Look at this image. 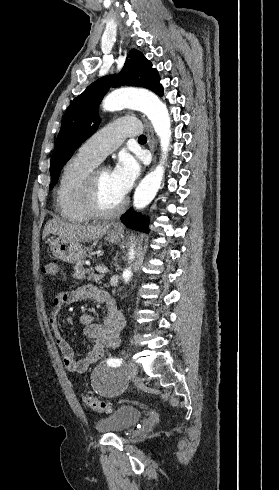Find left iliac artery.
<instances>
[{
    "label": "left iliac artery",
    "mask_w": 279,
    "mask_h": 490,
    "mask_svg": "<svg viewBox=\"0 0 279 490\" xmlns=\"http://www.w3.org/2000/svg\"><path fill=\"white\" fill-rule=\"evenodd\" d=\"M108 364L109 365H112L114 367L115 366H120L122 364V358H120V359H112L111 358V359L108 360Z\"/></svg>",
    "instance_id": "1"
}]
</instances>
